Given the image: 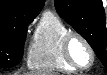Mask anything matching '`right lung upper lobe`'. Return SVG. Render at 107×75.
Returning a JSON list of instances; mask_svg holds the SVG:
<instances>
[{"mask_svg":"<svg viewBox=\"0 0 107 75\" xmlns=\"http://www.w3.org/2000/svg\"><path fill=\"white\" fill-rule=\"evenodd\" d=\"M44 0H0V30L13 23H31Z\"/></svg>","mask_w":107,"mask_h":75,"instance_id":"cb5924a9","label":"right lung upper lobe"}]
</instances>
